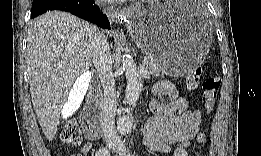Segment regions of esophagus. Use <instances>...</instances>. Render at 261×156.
<instances>
[{"mask_svg": "<svg viewBox=\"0 0 261 156\" xmlns=\"http://www.w3.org/2000/svg\"><path fill=\"white\" fill-rule=\"evenodd\" d=\"M108 15L113 21H121L124 16V10L115 8V9L109 10Z\"/></svg>", "mask_w": 261, "mask_h": 156, "instance_id": "1", "label": "esophagus"}]
</instances>
